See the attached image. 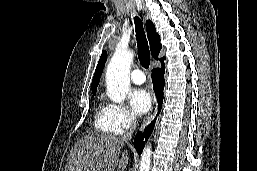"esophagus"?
Returning <instances> with one entry per match:
<instances>
[{"mask_svg": "<svg viewBox=\"0 0 257 171\" xmlns=\"http://www.w3.org/2000/svg\"><path fill=\"white\" fill-rule=\"evenodd\" d=\"M157 107H158V103H157V100H156V98L154 96L151 109H150L147 117L143 121L142 125L140 126V131L144 130L145 127L153 120V118H154V116H155V114L157 112Z\"/></svg>", "mask_w": 257, "mask_h": 171, "instance_id": "obj_1", "label": "esophagus"}]
</instances>
